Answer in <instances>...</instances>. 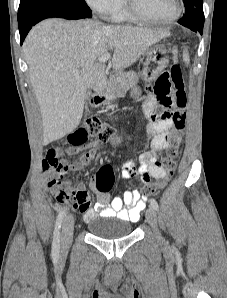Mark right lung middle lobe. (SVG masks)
<instances>
[{
  "mask_svg": "<svg viewBox=\"0 0 227 298\" xmlns=\"http://www.w3.org/2000/svg\"><path fill=\"white\" fill-rule=\"evenodd\" d=\"M45 7H63L77 11L91 12L85 0H20L18 21L32 12Z\"/></svg>",
  "mask_w": 227,
  "mask_h": 298,
  "instance_id": "right-lung-middle-lobe-1",
  "label": "right lung middle lobe"
}]
</instances>
